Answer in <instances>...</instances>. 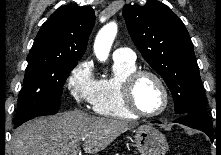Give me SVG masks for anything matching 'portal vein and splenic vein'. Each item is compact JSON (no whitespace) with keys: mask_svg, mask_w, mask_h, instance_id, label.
<instances>
[{"mask_svg":"<svg viewBox=\"0 0 221 155\" xmlns=\"http://www.w3.org/2000/svg\"><path fill=\"white\" fill-rule=\"evenodd\" d=\"M79 149H80V147L75 148V149L73 150L72 155H77V153H78Z\"/></svg>","mask_w":221,"mask_h":155,"instance_id":"portal-vein-and-splenic-vein-1","label":"portal vein and splenic vein"}]
</instances>
